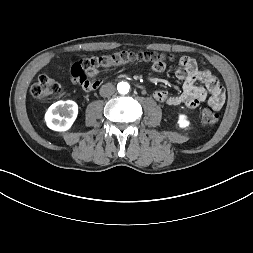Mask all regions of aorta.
<instances>
[{"mask_svg": "<svg viewBox=\"0 0 253 253\" xmlns=\"http://www.w3.org/2000/svg\"><path fill=\"white\" fill-rule=\"evenodd\" d=\"M130 85L128 82H120L117 85V90L120 94H127L129 92Z\"/></svg>", "mask_w": 253, "mask_h": 253, "instance_id": "1", "label": "aorta"}]
</instances>
